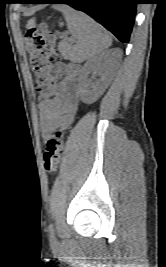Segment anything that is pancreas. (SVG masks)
<instances>
[{"label":"pancreas","instance_id":"obj_1","mask_svg":"<svg viewBox=\"0 0 166 267\" xmlns=\"http://www.w3.org/2000/svg\"><path fill=\"white\" fill-rule=\"evenodd\" d=\"M59 50L61 52V54L64 56V57H68V53L70 51V44L67 42V41H62L59 43Z\"/></svg>","mask_w":166,"mask_h":267}]
</instances>
